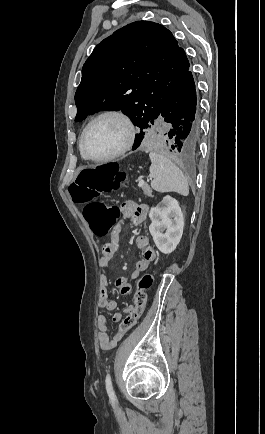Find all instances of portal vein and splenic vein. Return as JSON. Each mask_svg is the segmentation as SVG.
<instances>
[{
  "label": "portal vein and splenic vein",
  "mask_w": 265,
  "mask_h": 434,
  "mask_svg": "<svg viewBox=\"0 0 265 434\" xmlns=\"http://www.w3.org/2000/svg\"><path fill=\"white\" fill-rule=\"evenodd\" d=\"M150 180H152V178H150ZM143 184H144V180H140L138 184L139 188H142Z\"/></svg>",
  "instance_id": "obj_1"
}]
</instances>
